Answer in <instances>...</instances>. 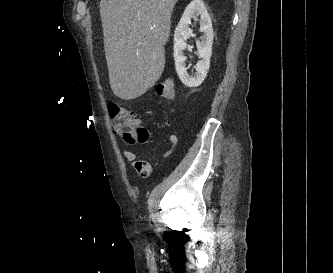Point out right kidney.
I'll list each match as a JSON object with an SVG mask.
<instances>
[{
	"label": "right kidney",
	"instance_id": "right-kidney-1",
	"mask_svg": "<svg viewBox=\"0 0 333 273\" xmlns=\"http://www.w3.org/2000/svg\"><path fill=\"white\" fill-rule=\"evenodd\" d=\"M200 16V31L203 32V40L197 41V51L202 58L198 61L194 67L196 72L194 76H190L187 72L186 57L184 56V50L187 47L186 40L192 35V30L189 27L191 24V18ZM213 28L211 18L207 12V9L202 0H193L186 7L179 24L174 32V60L175 68L179 79L187 87H198L205 79L209 67L210 57L212 54L213 43Z\"/></svg>",
	"mask_w": 333,
	"mask_h": 273
}]
</instances>
